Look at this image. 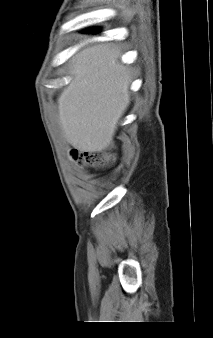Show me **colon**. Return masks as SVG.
<instances>
[{"mask_svg": "<svg viewBox=\"0 0 213 338\" xmlns=\"http://www.w3.org/2000/svg\"><path fill=\"white\" fill-rule=\"evenodd\" d=\"M71 155L80 165L95 169L103 168L110 160V156L106 153L97 151L74 150Z\"/></svg>", "mask_w": 213, "mask_h": 338, "instance_id": "1", "label": "colon"}]
</instances>
